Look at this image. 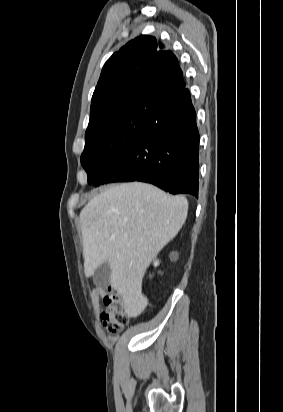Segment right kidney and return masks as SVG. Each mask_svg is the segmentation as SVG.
Instances as JSON below:
<instances>
[{
    "label": "right kidney",
    "mask_w": 283,
    "mask_h": 412,
    "mask_svg": "<svg viewBox=\"0 0 283 412\" xmlns=\"http://www.w3.org/2000/svg\"><path fill=\"white\" fill-rule=\"evenodd\" d=\"M159 265V260H156L155 262H154V266L156 267V266H158Z\"/></svg>",
    "instance_id": "1"
}]
</instances>
